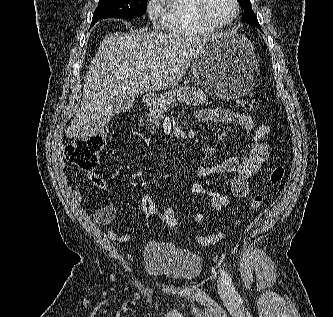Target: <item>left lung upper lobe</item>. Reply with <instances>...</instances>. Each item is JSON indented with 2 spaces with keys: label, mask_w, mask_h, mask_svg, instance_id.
Listing matches in <instances>:
<instances>
[{
  "label": "left lung upper lobe",
  "mask_w": 333,
  "mask_h": 317,
  "mask_svg": "<svg viewBox=\"0 0 333 317\" xmlns=\"http://www.w3.org/2000/svg\"><path fill=\"white\" fill-rule=\"evenodd\" d=\"M241 7L244 9V14L241 18L242 22L252 24L261 30L255 13L252 10L250 0H238Z\"/></svg>",
  "instance_id": "5c2ea615"
}]
</instances>
